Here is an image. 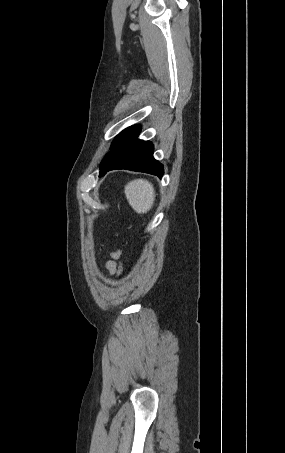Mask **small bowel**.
<instances>
[{"instance_id":"1","label":"small bowel","mask_w":285,"mask_h":453,"mask_svg":"<svg viewBox=\"0 0 285 453\" xmlns=\"http://www.w3.org/2000/svg\"><path fill=\"white\" fill-rule=\"evenodd\" d=\"M120 253L115 252L112 254V259L109 260L106 264V268L112 273V274H118L121 271V265L118 262Z\"/></svg>"}]
</instances>
